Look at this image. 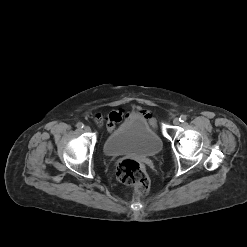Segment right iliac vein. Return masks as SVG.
I'll list each match as a JSON object with an SVG mask.
<instances>
[{
  "label": "right iliac vein",
  "mask_w": 247,
  "mask_h": 247,
  "mask_svg": "<svg viewBox=\"0 0 247 247\" xmlns=\"http://www.w3.org/2000/svg\"><path fill=\"white\" fill-rule=\"evenodd\" d=\"M84 131L90 132V131H91V128H90L89 126H85V127H84Z\"/></svg>",
  "instance_id": "1"
}]
</instances>
